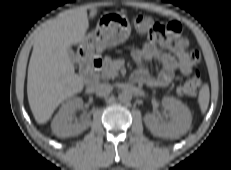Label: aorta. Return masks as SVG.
Here are the masks:
<instances>
[{
    "label": "aorta",
    "mask_w": 231,
    "mask_h": 170,
    "mask_svg": "<svg viewBox=\"0 0 231 170\" xmlns=\"http://www.w3.org/2000/svg\"><path fill=\"white\" fill-rule=\"evenodd\" d=\"M118 99H119V101L122 102V103H128V102L131 101L132 95H131V93L128 92V91H123V92L119 93Z\"/></svg>",
    "instance_id": "762f6f07"
}]
</instances>
